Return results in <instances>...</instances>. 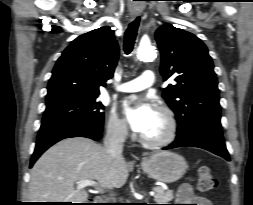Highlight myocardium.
<instances>
[{"label":"myocardium","instance_id":"obj_1","mask_svg":"<svg viewBox=\"0 0 253 205\" xmlns=\"http://www.w3.org/2000/svg\"><path fill=\"white\" fill-rule=\"evenodd\" d=\"M165 119L166 122V132L163 136L155 139L146 138L140 136V141L150 147H161L171 143L177 136L178 132V122L174 111L167 105H159L156 108Z\"/></svg>","mask_w":253,"mask_h":205}]
</instances>
